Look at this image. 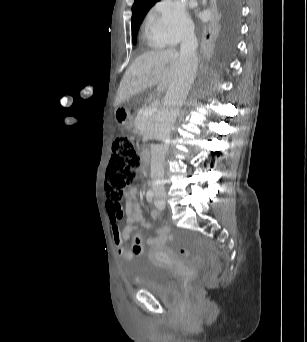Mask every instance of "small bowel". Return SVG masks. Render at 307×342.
Wrapping results in <instances>:
<instances>
[{"instance_id":"c3829d8e","label":"small bowel","mask_w":307,"mask_h":342,"mask_svg":"<svg viewBox=\"0 0 307 342\" xmlns=\"http://www.w3.org/2000/svg\"><path fill=\"white\" fill-rule=\"evenodd\" d=\"M107 211L112 231V239L117 248V252L123 259L131 260L135 254H138L130 253L128 240L131 234L136 231L138 227L144 229L152 228V225L142 216L136 188H130L127 192V202L125 208L127 225L123 229L120 227L119 220L121 216L117 213L115 205L107 206ZM152 217L156 218L157 214L153 212ZM169 239V229L163 226L158 229L157 236L147 239L146 245L149 246L153 251H158L165 247Z\"/></svg>"}]
</instances>
